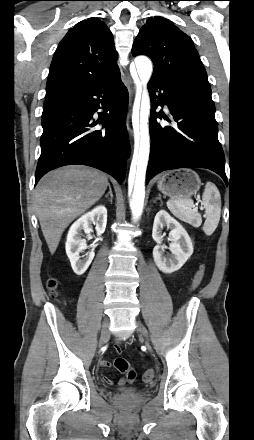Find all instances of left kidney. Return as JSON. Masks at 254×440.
Here are the masks:
<instances>
[{
  "label": "left kidney",
  "mask_w": 254,
  "mask_h": 440,
  "mask_svg": "<svg viewBox=\"0 0 254 440\" xmlns=\"http://www.w3.org/2000/svg\"><path fill=\"white\" fill-rule=\"evenodd\" d=\"M171 229V255H165L162 230ZM152 238L157 243L153 249V258L160 271L170 274L179 270L193 253L192 241L186 230L165 210H160L154 219Z\"/></svg>",
  "instance_id": "1"
}]
</instances>
